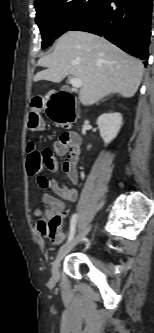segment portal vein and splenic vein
I'll use <instances>...</instances> for the list:
<instances>
[{
    "label": "portal vein and splenic vein",
    "instance_id": "obj_1",
    "mask_svg": "<svg viewBox=\"0 0 154 333\" xmlns=\"http://www.w3.org/2000/svg\"><path fill=\"white\" fill-rule=\"evenodd\" d=\"M69 82L74 88H81L82 87V81L78 78L70 77Z\"/></svg>",
    "mask_w": 154,
    "mask_h": 333
}]
</instances>
